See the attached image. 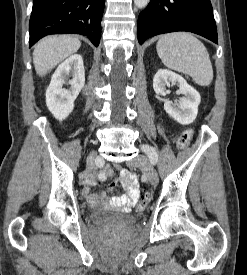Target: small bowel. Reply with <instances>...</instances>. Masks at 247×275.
<instances>
[{
    "label": "small bowel",
    "instance_id": "c3829d8e",
    "mask_svg": "<svg viewBox=\"0 0 247 275\" xmlns=\"http://www.w3.org/2000/svg\"><path fill=\"white\" fill-rule=\"evenodd\" d=\"M105 170L107 175L111 176L113 174V169L111 167H106ZM119 174L125 193L110 199L109 205L128 212L133 206L136 205L139 199V184L136 176L130 171L119 168ZM89 185H94V183H90ZM84 195L88 202L94 206H99L104 202L103 196L91 191L89 187L84 189Z\"/></svg>",
    "mask_w": 247,
    "mask_h": 275
}]
</instances>
